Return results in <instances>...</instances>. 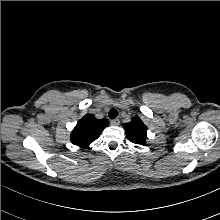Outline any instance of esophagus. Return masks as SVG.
<instances>
[{
	"instance_id": "34e87169",
	"label": "esophagus",
	"mask_w": 220,
	"mask_h": 220,
	"mask_svg": "<svg viewBox=\"0 0 220 220\" xmlns=\"http://www.w3.org/2000/svg\"><path fill=\"white\" fill-rule=\"evenodd\" d=\"M120 124V120L119 119H113L111 120V125L113 126H118Z\"/></svg>"
}]
</instances>
